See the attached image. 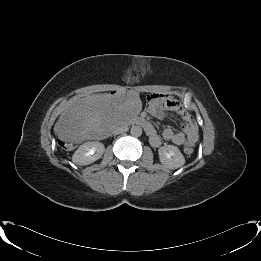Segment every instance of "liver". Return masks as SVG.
Masks as SVG:
<instances>
[{
    "label": "liver",
    "instance_id": "liver-1",
    "mask_svg": "<svg viewBox=\"0 0 261 261\" xmlns=\"http://www.w3.org/2000/svg\"><path fill=\"white\" fill-rule=\"evenodd\" d=\"M139 110L138 94L120 91L93 94L81 98L75 105L64 111L54 125L59 139L82 142L88 138H98L110 129L122 127Z\"/></svg>",
    "mask_w": 261,
    "mask_h": 261
}]
</instances>
